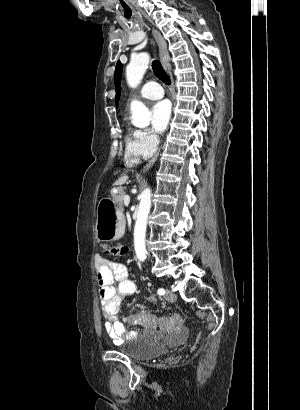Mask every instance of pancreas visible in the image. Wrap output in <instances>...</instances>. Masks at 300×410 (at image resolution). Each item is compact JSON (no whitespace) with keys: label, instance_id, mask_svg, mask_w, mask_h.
Instances as JSON below:
<instances>
[{"label":"pancreas","instance_id":"cf45deb5","mask_svg":"<svg viewBox=\"0 0 300 410\" xmlns=\"http://www.w3.org/2000/svg\"><path fill=\"white\" fill-rule=\"evenodd\" d=\"M113 200L115 201V203L118 205V207L123 210V199H124V192L119 189L117 194H112Z\"/></svg>","mask_w":300,"mask_h":410}]
</instances>
